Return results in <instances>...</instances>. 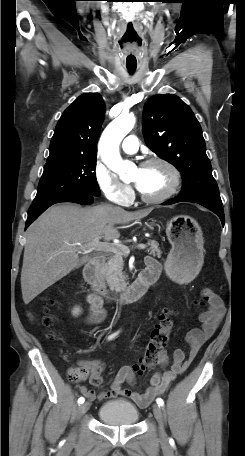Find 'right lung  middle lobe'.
<instances>
[{
    "instance_id": "dd1d6c3e",
    "label": "right lung middle lobe",
    "mask_w": 245,
    "mask_h": 456,
    "mask_svg": "<svg viewBox=\"0 0 245 456\" xmlns=\"http://www.w3.org/2000/svg\"><path fill=\"white\" fill-rule=\"evenodd\" d=\"M96 155L61 159L46 163L33 203L68 196L100 195Z\"/></svg>"
}]
</instances>
